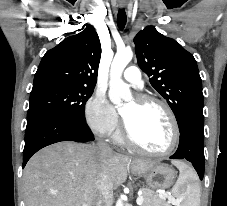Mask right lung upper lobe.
<instances>
[{"label":"right lung upper lobe","instance_id":"obj_1","mask_svg":"<svg viewBox=\"0 0 227 206\" xmlns=\"http://www.w3.org/2000/svg\"><path fill=\"white\" fill-rule=\"evenodd\" d=\"M101 57V44L95 29L87 25L77 35L64 39L43 56L34 83L56 81L94 88Z\"/></svg>","mask_w":227,"mask_h":206}]
</instances>
